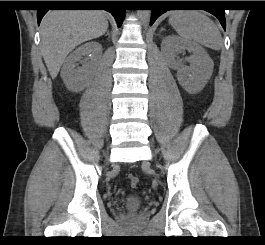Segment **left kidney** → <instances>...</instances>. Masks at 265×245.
Returning a JSON list of instances; mask_svg holds the SVG:
<instances>
[{
    "instance_id": "1",
    "label": "left kidney",
    "mask_w": 265,
    "mask_h": 245,
    "mask_svg": "<svg viewBox=\"0 0 265 245\" xmlns=\"http://www.w3.org/2000/svg\"><path fill=\"white\" fill-rule=\"evenodd\" d=\"M184 50L192 52L189 67L182 66L177 60V55ZM161 51L168 65L177 70L178 82L188 93L196 94L205 87L212 75L214 63L204 48L171 35L162 40Z\"/></svg>"
}]
</instances>
